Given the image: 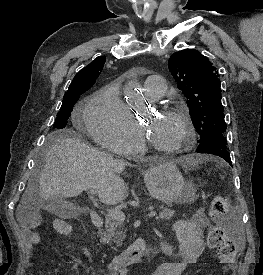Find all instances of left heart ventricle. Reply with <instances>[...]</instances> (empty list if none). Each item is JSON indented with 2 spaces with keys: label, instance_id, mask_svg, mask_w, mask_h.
<instances>
[{
  "label": "left heart ventricle",
  "instance_id": "obj_1",
  "mask_svg": "<svg viewBox=\"0 0 263 275\" xmlns=\"http://www.w3.org/2000/svg\"><path fill=\"white\" fill-rule=\"evenodd\" d=\"M145 119V132L148 138L158 146L174 147L184 135L182 124L172 116L154 113Z\"/></svg>",
  "mask_w": 263,
  "mask_h": 275
}]
</instances>
